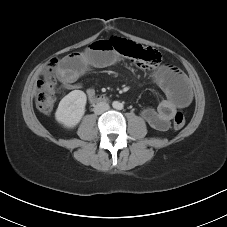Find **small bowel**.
Returning a JSON list of instances; mask_svg holds the SVG:
<instances>
[{"mask_svg":"<svg viewBox=\"0 0 227 227\" xmlns=\"http://www.w3.org/2000/svg\"><path fill=\"white\" fill-rule=\"evenodd\" d=\"M120 54L115 51L109 40H98L84 51L70 54L62 59L57 68V75L64 90L81 87L78 79L90 68H104L116 64ZM153 78L165 94L157 108H146L141 112L142 118L154 129L165 131L179 108L187 107L192 101V93L186 76L176 67L162 65L153 72ZM89 98L94 90L88 89Z\"/></svg>","mask_w":227,"mask_h":227,"instance_id":"1","label":"small bowel"}]
</instances>
